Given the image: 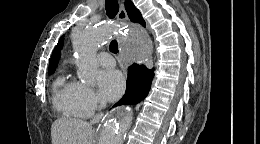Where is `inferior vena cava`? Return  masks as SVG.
<instances>
[{"mask_svg":"<svg viewBox=\"0 0 260 144\" xmlns=\"http://www.w3.org/2000/svg\"><path fill=\"white\" fill-rule=\"evenodd\" d=\"M105 106V104L103 102L100 103V109H102ZM103 114L99 113L97 114L91 121L90 124H94V123H98L101 118H102Z\"/></svg>","mask_w":260,"mask_h":144,"instance_id":"inferior-vena-cava-1","label":"inferior vena cava"}]
</instances>
